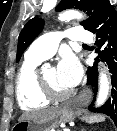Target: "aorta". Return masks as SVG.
Here are the masks:
<instances>
[{"label":"aorta","instance_id":"aorta-1","mask_svg":"<svg viewBox=\"0 0 117 131\" xmlns=\"http://www.w3.org/2000/svg\"><path fill=\"white\" fill-rule=\"evenodd\" d=\"M73 19L82 20L84 16L82 13L76 10H67L59 15V20L70 21ZM109 80L105 71L101 70L99 74V91L96 99V107L103 105L108 99L109 95Z\"/></svg>","mask_w":117,"mask_h":131}]
</instances>
